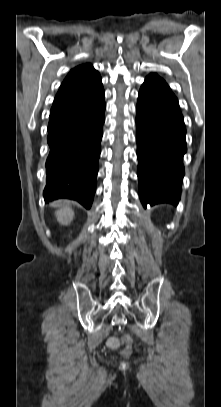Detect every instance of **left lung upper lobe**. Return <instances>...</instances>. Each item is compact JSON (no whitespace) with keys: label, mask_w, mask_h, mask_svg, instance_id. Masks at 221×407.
<instances>
[{"label":"left lung upper lobe","mask_w":221,"mask_h":407,"mask_svg":"<svg viewBox=\"0 0 221 407\" xmlns=\"http://www.w3.org/2000/svg\"><path fill=\"white\" fill-rule=\"evenodd\" d=\"M152 75H155V74H150L149 76H152Z\"/></svg>","instance_id":"1"}]
</instances>
